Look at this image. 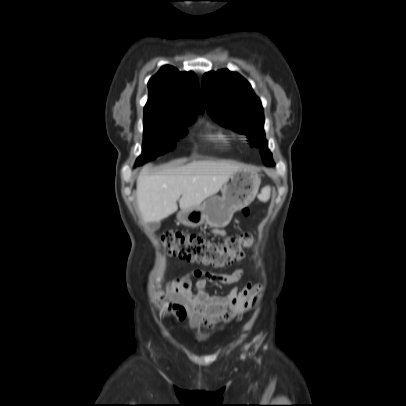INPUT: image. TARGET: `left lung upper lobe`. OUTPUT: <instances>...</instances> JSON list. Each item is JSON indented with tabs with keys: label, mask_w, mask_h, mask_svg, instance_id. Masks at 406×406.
<instances>
[{
	"label": "left lung upper lobe",
	"mask_w": 406,
	"mask_h": 406,
	"mask_svg": "<svg viewBox=\"0 0 406 406\" xmlns=\"http://www.w3.org/2000/svg\"><path fill=\"white\" fill-rule=\"evenodd\" d=\"M202 98L215 121L248 135L252 147L264 145L260 149L264 162L274 165L264 136L261 102L243 77L227 69L206 73L202 79Z\"/></svg>",
	"instance_id": "obj_1"
}]
</instances>
